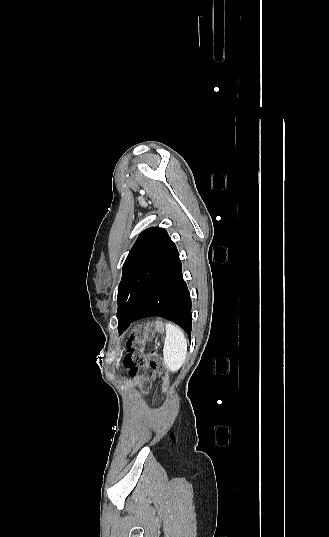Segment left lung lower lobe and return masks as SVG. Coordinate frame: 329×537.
I'll return each mask as SVG.
<instances>
[{
    "label": "left lung lower lobe",
    "instance_id": "1",
    "mask_svg": "<svg viewBox=\"0 0 329 537\" xmlns=\"http://www.w3.org/2000/svg\"><path fill=\"white\" fill-rule=\"evenodd\" d=\"M149 316H162L178 324L191 338V297L183 280L179 254L149 283L142 296L118 326L121 333L129 324Z\"/></svg>",
    "mask_w": 329,
    "mask_h": 537
}]
</instances>
